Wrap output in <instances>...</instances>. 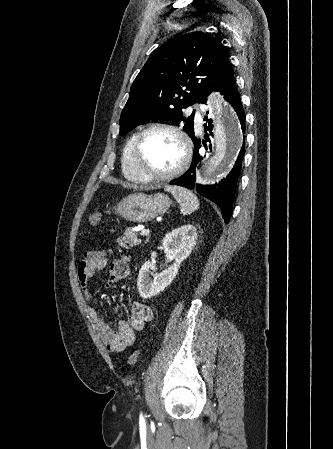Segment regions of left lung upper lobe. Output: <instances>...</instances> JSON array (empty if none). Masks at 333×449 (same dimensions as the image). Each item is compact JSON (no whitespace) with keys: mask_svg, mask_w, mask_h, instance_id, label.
<instances>
[{"mask_svg":"<svg viewBox=\"0 0 333 449\" xmlns=\"http://www.w3.org/2000/svg\"><path fill=\"white\" fill-rule=\"evenodd\" d=\"M231 74L225 48L214 37L192 32L167 41L151 53L134 80L121 113L120 135L145 121L162 119L182 123L192 138L194 112L187 117L182 110L205 103Z\"/></svg>","mask_w":333,"mask_h":449,"instance_id":"1","label":"left lung upper lobe"}]
</instances>
